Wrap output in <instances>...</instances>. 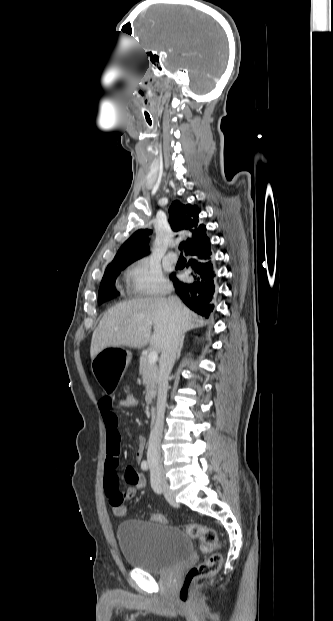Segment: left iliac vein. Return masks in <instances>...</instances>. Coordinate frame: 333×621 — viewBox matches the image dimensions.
Segmentation results:
<instances>
[{
	"label": "left iliac vein",
	"instance_id": "4c4485c4",
	"mask_svg": "<svg viewBox=\"0 0 333 621\" xmlns=\"http://www.w3.org/2000/svg\"><path fill=\"white\" fill-rule=\"evenodd\" d=\"M151 480L156 481V483L158 485V490L157 491H161L162 487H161L160 481H159L158 477L155 475L153 470L151 471Z\"/></svg>",
	"mask_w": 333,
	"mask_h": 621
}]
</instances>
